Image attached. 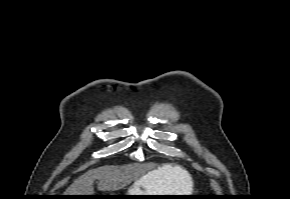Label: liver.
I'll return each mask as SVG.
<instances>
[{"label": "liver", "mask_w": 290, "mask_h": 199, "mask_svg": "<svg viewBox=\"0 0 290 199\" xmlns=\"http://www.w3.org/2000/svg\"><path fill=\"white\" fill-rule=\"evenodd\" d=\"M157 178H163L166 188L173 192H182L190 184V175L180 166L166 164L157 169ZM154 171L144 175L145 170L139 164L122 166L106 165L88 172L77 178L65 191L64 195H93V183L97 179L98 190L115 191L124 188L132 181L151 175Z\"/></svg>", "instance_id": "liver-1"}]
</instances>
